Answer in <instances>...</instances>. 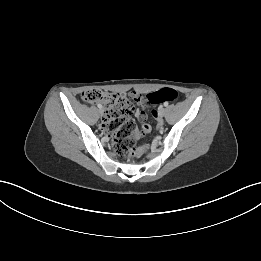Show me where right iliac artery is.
<instances>
[{
    "label": "right iliac artery",
    "mask_w": 261,
    "mask_h": 261,
    "mask_svg": "<svg viewBox=\"0 0 261 261\" xmlns=\"http://www.w3.org/2000/svg\"><path fill=\"white\" fill-rule=\"evenodd\" d=\"M97 106H98V108H100V109L102 108V105H101V104H98Z\"/></svg>",
    "instance_id": "1"
}]
</instances>
